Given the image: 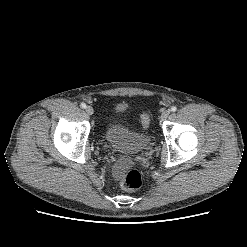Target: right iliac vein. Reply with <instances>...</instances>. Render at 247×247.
<instances>
[{
	"instance_id": "63e3f726",
	"label": "right iliac vein",
	"mask_w": 247,
	"mask_h": 247,
	"mask_svg": "<svg viewBox=\"0 0 247 247\" xmlns=\"http://www.w3.org/2000/svg\"><path fill=\"white\" fill-rule=\"evenodd\" d=\"M85 111H86V113H87L88 115H92V114L94 113V110H93V108H92L91 106H87V107L85 108Z\"/></svg>"
}]
</instances>
